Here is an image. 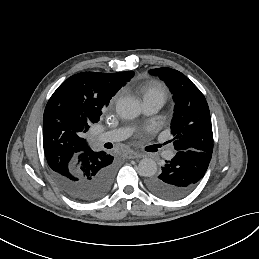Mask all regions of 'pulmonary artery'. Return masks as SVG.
Masks as SVG:
<instances>
[{
	"label": "pulmonary artery",
	"mask_w": 259,
	"mask_h": 259,
	"mask_svg": "<svg viewBox=\"0 0 259 259\" xmlns=\"http://www.w3.org/2000/svg\"><path fill=\"white\" fill-rule=\"evenodd\" d=\"M165 103V99L161 97L150 98L143 101V109L147 114H153L158 112ZM130 135V130L127 128H120L111 131L102 130L97 136L98 142H116L126 139ZM174 156L172 149H167L164 152V157L167 160H171Z\"/></svg>",
	"instance_id": "e3ab8cb5"
}]
</instances>
